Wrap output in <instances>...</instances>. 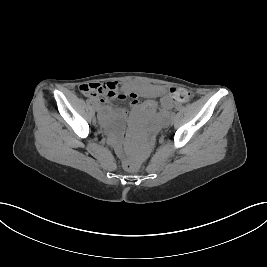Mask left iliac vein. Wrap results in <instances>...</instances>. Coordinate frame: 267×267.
I'll list each match as a JSON object with an SVG mask.
<instances>
[{"instance_id": "4c4485c4", "label": "left iliac vein", "mask_w": 267, "mask_h": 267, "mask_svg": "<svg viewBox=\"0 0 267 267\" xmlns=\"http://www.w3.org/2000/svg\"><path fill=\"white\" fill-rule=\"evenodd\" d=\"M171 124V120H168L167 122H166V125H170Z\"/></svg>"}]
</instances>
